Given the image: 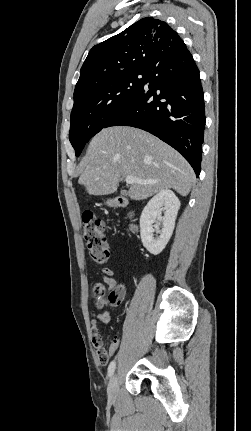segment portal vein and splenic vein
I'll list each match as a JSON object with an SVG mask.
<instances>
[{
  "mask_svg": "<svg viewBox=\"0 0 251 431\" xmlns=\"http://www.w3.org/2000/svg\"><path fill=\"white\" fill-rule=\"evenodd\" d=\"M125 181L127 184H133V183H139V184H150L152 183V181H145V180H141V179H137L133 176H127L125 178Z\"/></svg>",
  "mask_w": 251,
  "mask_h": 431,
  "instance_id": "18ae733b",
  "label": "portal vein and splenic vein"
}]
</instances>
